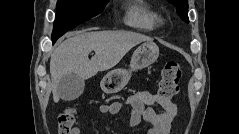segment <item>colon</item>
<instances>
[{
    "mask_svg": "<svg viewBox=\"0 0 239 134\" xmlns=\"http://www.w3.org/2000/svg\"><path fill=\"white\" fill-rule=\"evenodd\" d=\"M181 68L176 62L165 64L161 71L158 86L159 95L164 99H170L176 95L179 89L181 79ZM75 109L68 107L64 109L58 116V133L70 134L72 126L75 122Z\"/></svg>",
    "mask_w": 239,
    "mask_h": 134,
    "instance_id": "obj_1",
    "label": "colon"
}]
</instances>
